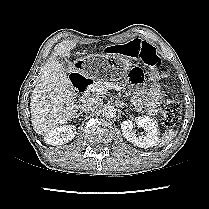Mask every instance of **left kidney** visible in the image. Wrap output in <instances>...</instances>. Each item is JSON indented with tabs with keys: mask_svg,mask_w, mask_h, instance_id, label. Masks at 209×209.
I'll return each mask as SVG.
<instances>
[{
	"mask_svg": "<svg viewBox=\"0 0 209 209\" xmlns=\"http://www.w3.org/2000/svg\"><path fill=\"white\" fill-rule=\"evenodd\" d=\"M136 124L145 131L144 136H137L133 130V125ZM121 130L124 138L141 148H150L159 143V130L156 121L149 116H139L134 120H125L121 124Z\"/></svg>",
	"mask_w": 209,
	"mask_h": 209,
	"instance_id": "1",
	"label": "left kidney"
}]
</instances>
